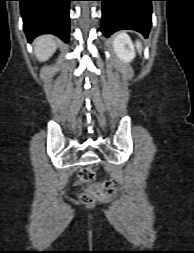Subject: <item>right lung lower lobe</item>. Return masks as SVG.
I'll return each instance as SVG.
<instances>
[{"instance_id":"98d812e1","label":"right lung lower lobe","mask_w":194,"mask_h":253,"mask_svg":"<svg viewBox=\"0 0 194 253\" xmlns=\"http://www.w3.org/2000/svg\"><path fill=\"white\" fill-rule=\"evenodd\" d=\"M28 40L41 34H54L68 42L71 0H18Z\"/></svg>"}]
</instances>
